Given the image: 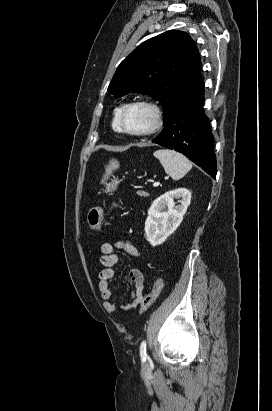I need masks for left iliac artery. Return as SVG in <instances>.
Masks as SVG:
<instances>
[{"instance_id":"left-iliac-artery-1","label":"left iliac artery","mask_w":272,"mask_h":411,"mask_svg":"<svg viewBox=\"0 0 272 411\" xmlns=\"http://www.w3.org/2000/svg\"><path fill=\"white\" fill-rule=\"evenodd\" d=\"M140 357L142 361H146L147 359V353H146V341H142L140 345Z\"/></svg>"}]
</instances>
